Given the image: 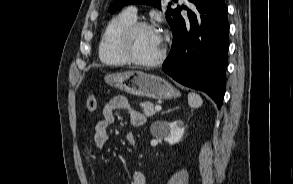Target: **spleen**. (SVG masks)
Returning <instances> with one entry per match:
<instances>
[{
    "label": "spleen",
    "instance_id": "spleen-1",
    "mask_svg": "<svg viewBox=\"0 0 293 184\" xmlns=\"http://www.w3.org/2000/svg\"><path fill=\"white\" fill-rule=\"evenodd\" d=\"M202 98L196 93L188 94V104L192 108H198L202 105Z\"/></svg>",
    "mask_w": 293,
    "mask_h": 184
}]
</instances>
